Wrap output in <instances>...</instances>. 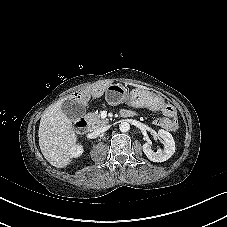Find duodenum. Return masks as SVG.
I'll use <instances>...</instances> for the list:
<instances>
[{
    "instance_id": "1",
    "label": "duodenum",
    "mask_w": 227,
    "mask_h": 227,
    "mask_svg": "<svg viewBox=\"0 0 227 227\" xmlns=\"http://www.w3.org/2000/svg\"><path fill=\"white\" fill-rule=\"evenodd\" d=\"M76 130L82 134H85L89 130V122L85 119H80L75 124Z\"/></svg>"
}]
</instances>
